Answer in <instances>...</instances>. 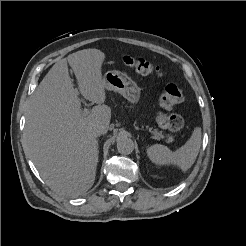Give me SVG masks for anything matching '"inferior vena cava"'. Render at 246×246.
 <instances>
[{
    "mask_svg": "<svg viewBox=\"0 0 246 246\" xmlns=\"http://www.w3.org/2000/svg\"><path fill=\"white\" fill-rule=\"evenodd\" d=\"M92 135L94 136V137H98V136H100V135H102V134H105L106 132H107V129H106V127L105 126H103V125H98V126H95L93 129H92Z\"/></svg>",
    "mask_w": 246,
    "mask_h": 246,
    "instance_id": "inferior-vena-cava-1",
    "label": "inferior vena cava"
}]
</instances>
